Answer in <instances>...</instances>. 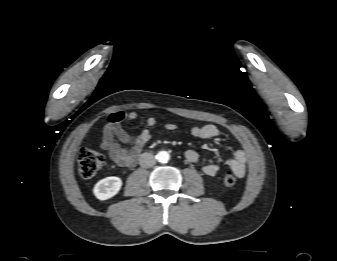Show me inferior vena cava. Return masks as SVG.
Returning a JSON list of instances; mask_svg holds the SVG:
<instances>
[{
    "mask_svg": "<svg viewBox=\"0 0 337 261\" xmlns=\"http://www.w3.org/2000/svg\"><path fill=\"white\" fill-rule=\"evenodd\" d=\"M156 159L152 153H143L140 155L139 164L144 168H150L155 165Z\"/></svg>",
    "mask_w": 337,
    "mask_h": 261,
    "instance_id": "602c4592",
    "label": "inferior vena cava"
}]
</instances>
